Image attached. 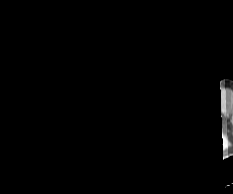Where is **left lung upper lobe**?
<instances>
[{
    "mask_svg": "<svg viewBox=\"0 0 233 194\" xmlns=\"http://www.w3.org/2000/svg\"><path fill=\"white\" fill-rule=\"evenodd\" d=\"M140 101L149 132V151L183 155L198 123L195 95L174 82L153 80L140 90Z\"/></svg>",
    "mask_w": 233,
    "mask_h": 194,
    "instance_id": "obj_1",
    "label": "left lung upper lobe"
}]
</instances>
